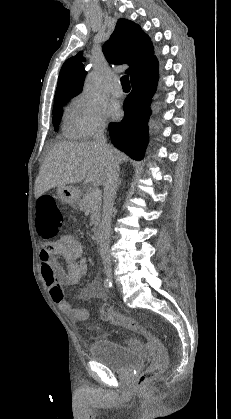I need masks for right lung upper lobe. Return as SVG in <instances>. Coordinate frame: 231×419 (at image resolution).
<instances>
[{
    "instance_id": "right-lung-upper-lobe-1",
    "label": "right lung upper lobe",
    "mask_w": 231,
    "mask_h": 419,
    "mask_svg": "<svg viewBox=\"0 0 231 419\" xmlns=\"http://www.w3.org/2000/svg\"><path fill=\"white\" fill-rule=\"evenodd\" d=\"M103 53L110 63L129 64L126 73L130 78L157 60L149 36L139 25L124 18L118 20L110 39L104 43ZM83 61L81 53L65 61L58 78L55 102L81 92L87 74Z\"/></svg>"
}]
</instances>
